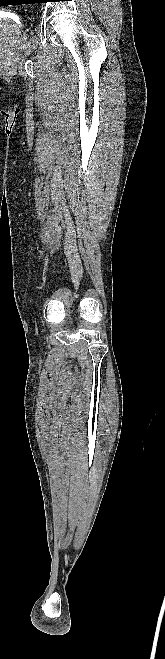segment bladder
<instances>
[{"label":"bladder","instance_id":"bladder-1","mask_svg":"<svg viewBox=\"0 0 165 659\" xmlns=\"http://www.w3.org/2000/svg\"><path fill=\"white\" fill-rule=\"evenodd\" d=\"M6 30L5 24H0V33H3Z\"/></svg>","mask_w":165,"mask_h":659}]
</instances>
